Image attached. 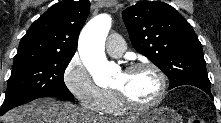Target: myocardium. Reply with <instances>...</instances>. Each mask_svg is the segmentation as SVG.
Masks as SVG:
<instances>
[{
	"label": "myocardium",
	"instance_id": "obj_1",
	"mask_svg": "<svg viewBox=\"0 0 221 123\" xmlns=\"http://www.w3.org/2000/svg\"><path fill=\"white\" fill-rule=\"evenodd\" d=\"M149 69L153 71L159 80V92L156 98L150 103L140 104L131 100L127 94L117 88H113V92L125 110L128 111H146L159 106L164 100L167 93V77L160 67L152 62H138L124 69V73L129 74L138 70Z\"/></svg>",
	"mask_w": 221,
	"mask_h": 123
}]
</instances>
